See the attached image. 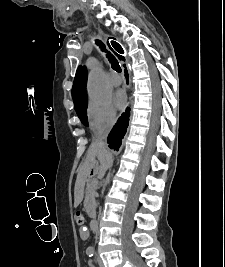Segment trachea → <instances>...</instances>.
Returning a JSON list of instances; mask_svg holds the SVG:
<instances>
[{
    "label": "trachea",
    "mask_w": 225,
    "mask_h": 267,
    "mask_svg": "<svg viewBox=\"0 0 225 267\" xmlns=\"http://www.w3.org/2000/svg\"><path fill=\"white\" fill-rule=\"evenodd\" d=\"M96 43H97V45H99V47H101L102 50H105V45L100 40H97ZM115 44H116L115 42H112V45H113L114 48H115V46H114ZM107 57H108L109 61L111 62L112 68L116 72H121V67H120L117 59L112 54H110L109 52L107 53Z\"/></svg>",
    "instance_id": "obj_1"
}]
</instances>
